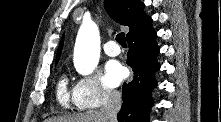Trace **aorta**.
<instances>
[{"instance_id": "762f6f07", "label": "aorta", "mask_w": 221, "mask_h": 122, "mask_svg": "<svg viewBox=\"0 0 221 122\" xmlns=\"http://www.w3.org/2000/svg\"><path fill=\"white\" fill-rule=\"evenodd\" d=\"M100 56V36L95 23L84 22L77 35L74 49V66L82 75L91 74L98 65Z\"/></svg>"}]
</instances>
